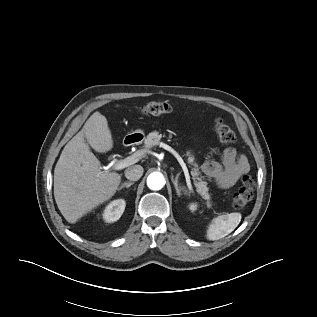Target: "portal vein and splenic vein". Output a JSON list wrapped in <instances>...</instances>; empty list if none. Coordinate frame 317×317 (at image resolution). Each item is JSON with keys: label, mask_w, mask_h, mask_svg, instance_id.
Returning <instances> with one entry per match:
<instances>
[{"label": "portal vein and splenic vein", "mask_w": 317, "mask_h": 317, "mask_svg": "<svg viewBox=\"0 0 317 317\" xmlns=\"http://www.w3.org/2000/svg\"><path fill=\"white\" fill-rule=\"evenodd\" d=\"M160 147L164 148L165 150L169 151L170 153H172L175 156V158L178 160L179 164L181 165V167L183 169L187 184L190 185V174H189L188 168L186 166V163L182 159V157L179 155V153L177 151H175L171 146L164 144V143H160ZM143 155H144L143 151H137L133 155L127 157L126 159L117 160L116 163L114 164V169L115 170H122V169L138 162L143 157Z\"/></svg>", "instance_id": "portal-vein-and-splenic-vein-1"}]
</instances>
